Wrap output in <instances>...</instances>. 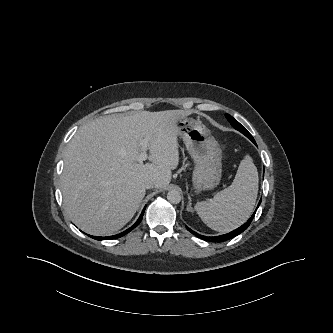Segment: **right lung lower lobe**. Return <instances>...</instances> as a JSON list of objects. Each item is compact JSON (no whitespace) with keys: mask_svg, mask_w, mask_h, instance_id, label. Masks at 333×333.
<instances>
[{"mask_svg":"<svg viewBox=\"0 0 333 333\" xmlns=\"http://www.w3.org/2000/svg\"><path fill=\"white\" fill-rule=\"evenodd\" d=\"M145 208H146V206L144 207V209H143L140 217L138 218V220L135 222L134 225H132L130 228H128L127 230H125L124 232H122L120 234L109 236V237H105V239H107V238L108 239H115V238L122 237V236L126 235L127 233H129L131 230H133L135 227H137L139 225V223L141 222L142 218H143V214H144ZM90 237H92L94 239H97V240H102V237H95V236H90Z\"/></svg>","mask_w":333,"mask_h":333,"instance_id":"obj_1","label":"right lung lower lobe"}]
</instances>
